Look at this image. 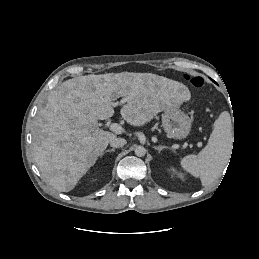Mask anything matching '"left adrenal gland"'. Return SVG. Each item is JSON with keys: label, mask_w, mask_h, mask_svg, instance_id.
I'll return each instance as SVG.
<instances>
[{"label": "left adrenal gland", "mask_w": 259, "mask_h": 259, "mask_svg": "<svg viewBox=\"0 0 259 259\" xmlns=\"http://www.w3.org/2000/svg\"><path fill=\"white\" fill-rule=\"evenodd\" d=\"M156 150H158V152L160 153L163 149H167L168 147L167 146H157V147H154Z\"/></svg>", "instance_id": "left-adrenal-gland-1"}]
</instances>
